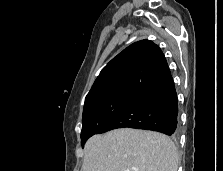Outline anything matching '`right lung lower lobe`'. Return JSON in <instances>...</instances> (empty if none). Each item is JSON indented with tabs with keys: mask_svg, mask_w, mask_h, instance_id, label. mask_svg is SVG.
I'll use <instances>...</instances> for the list:
<instances>
[{
	"mask_svg": "<svg viewBox=\"0 0 223 171\" xmlns=\"http://www.w3.org/2000/svg\"><path fill=\"white\" fill-rule=\"evenodd\" d=\"M124 127L178 133V100L171 74L140 92L98 134Z\"/></svg>",
	"mask_w": 223,
	"mask_h": 171,
	"instance_id": "1",
	"label": "right lung lower lobe"
}]
</instances>
